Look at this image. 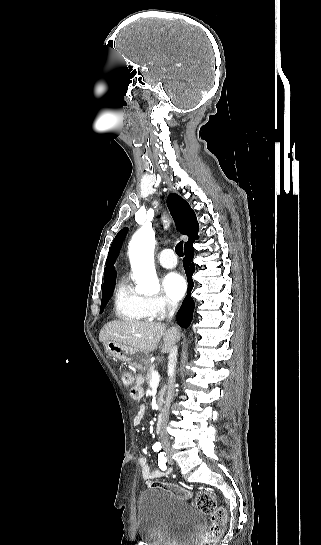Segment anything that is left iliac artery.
Listing matches in <instances>:
<instances>
[{"instance_id": "44dca946", "label": "left iliac artery", "mask_w": 321, "mask_h": 545, "mask_svg": "<svg viewBox=\"0 0 321 545\" xmlns=\"http://www.w3.org/2000/svg\"><path fill=\"white\" fill-rule=\"evenodd\" d=\"M167 459H166V453L165 452H161L159 455H158V465L159 467L162 469V470H165L166 469V463Z\"/></svg>"}]
</instances>
